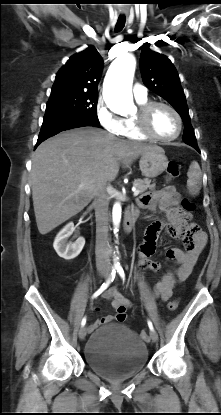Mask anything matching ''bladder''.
<instances>
[{"label":"bladder","mask_w":221,"mask_h":415,"mask_svg":"<svg viewBox=\"0 0 221 415\" xmlns=\"http://www.w3.org/2000/svg\"><path fill=\"white\" fill-rule=\"evenodd\" d=\"M148 355L144 341L120 323L94 331L84 350L87 365L100 376L112 380L140 372L147 365Z\"/></svg>","instance_id":"bladder-1"}]
</instances>
